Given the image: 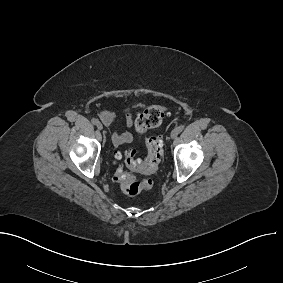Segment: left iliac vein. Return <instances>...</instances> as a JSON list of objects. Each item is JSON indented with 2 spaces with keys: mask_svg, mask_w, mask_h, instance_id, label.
<instances>
[{
  "mask_svg": "<svg viewBox=\"0 0 283 283\" xmlns=\"http://www.w3.org/2000/svg\"><path fill=\"white\" fill-rule=\"evenodd\" d=\"M178 133H179V132H178L177 129H173L172 132H171V135H170L171 138H172V139H175V138L177 137Z\"/></svg>",
  "mask_w": 283,
  "mask_h": 283,
  "instance_id": "obj_1",
  "label": "left iliac vein"
}]
</instances>
